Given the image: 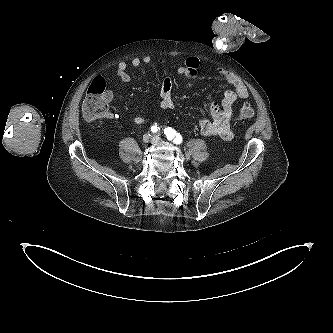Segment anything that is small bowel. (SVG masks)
Here are the masks:
<instances>
[{
	"label": "small bowel",
	"mask_w": 333,
	"mask_h": 333,
	"mask_svg": "<svg viewBox=\"0 0 333 333\" xmlns=\"http://www.w3.org/2000/svg\"><path fill=\"white\" fill-rule=\"evenodd\" d=\"M152 61V58L149 56L133 58L129 63L122 61L117 65V76L121 82L129 83L131 81V76L128 72L129 67L139 68L142 65L150 64ZM157 62L163 63L162 60H157ZM199 67V59L196 57H189L185 60L183 65L177 68V73L189 78H194L198 74ZM218 74L224 78L232 88L224 92L221 104L209 102L208 111L211 119L199 118L198 125L200 132L204 136L230 140L233 138V132L231 129L233 106L237 99L247 98L249 92L243 81L234 73L220 68L218 69ZM105 98L107 103L112 102L114 99V92L112 90H106ZM159 106L163 110H175L178 108L172 94L171 79L168 77L163 80L161 85ZM104 118L112 120L116 118V115L113 112L108 111ZM144 122V116L137 115L134 117L135 124L140 125Z\"/></svg>",
	"instance_id": "obj_1"
}]
</instances>
